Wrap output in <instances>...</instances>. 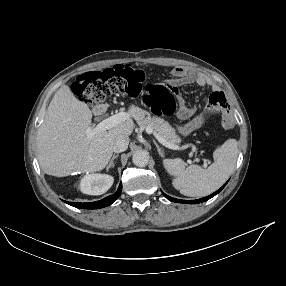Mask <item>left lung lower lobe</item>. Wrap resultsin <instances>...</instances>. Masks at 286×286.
I'll return each mask as SVG.
<instances>
[{
	"mask_svg": "<svg viewBox=\"0 0 286 286\" xmlns=\"http://www.w3.org/2000/svg\"><path fill=\"white\" fill-rule=\"evenodd\" d=\"M227 183V182H226ZM226 183L219 189L217 190L216 192H214L213 194L207 196V197H204V198H201V199H198V200H180V199H175V198H172L166 194L163 193V195L170 201L172 202H178V203H186V204H196V203H201V202H204V201H207L209 200L210 198H212L213 196H215L216 194H218L223 188L224 186L226 185Z\"/></svg>",
	"mask_w": 286,
	"mask_h": 286,
	"instance_id": "1",
	"label": "left lung lower lobe"
}]
</instances>
